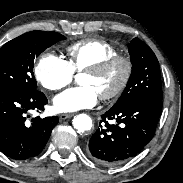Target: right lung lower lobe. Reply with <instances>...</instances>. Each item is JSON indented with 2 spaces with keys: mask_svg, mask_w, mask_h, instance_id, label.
I'll use <instances>...</instances> for the list:
<instances>
[{
  "mask_svg": "<svg viewBox=\"0 0 183 183\" xmlns=\"http://www.w3.org/2000/svg\"><path fill=\"white\" fill-rule=\"evenodd\" d=\"M46 96L37 89L0 90V151L15 160L37 156L47 143L58 117H36L29 112L43 110Z\"/></svg>",
  "mask_w": 183,
  "mask_h": 183,
  "instance_id": "1",
  "label": "right lung lower lobe"
}]
</instances>
